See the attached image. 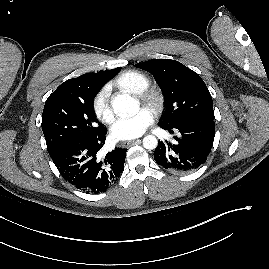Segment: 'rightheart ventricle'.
I'll use <instances>...</instances> for the list:
<instances>
[{
	"mask_svg": "<svg viewBox=\"0 0 269 269\" xmlns=\"http://www.w3.org/2000/svg\"><path fill=\"white\" fill-rule=\"evenodd\" d=\"M113 84L120 91L137 95L149 86V78L140 71L127 70L117 76Z\"/></svg>",
	"mask_w": 269,
	"mask_h": 269,
	"instance_id": "right-heart-ventricle-1",
	"label": "right heart ventricle"
}]
</instances>
